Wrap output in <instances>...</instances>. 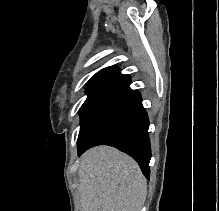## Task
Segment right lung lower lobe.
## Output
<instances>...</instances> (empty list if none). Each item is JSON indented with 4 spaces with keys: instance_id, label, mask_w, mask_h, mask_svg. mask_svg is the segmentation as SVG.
<instances>
[{
    "instance_id": "1",
    "label": "right lung lower lobe",
    "mask_w": 219,
    "mask_h": 211,
    "mask_svg": "<svg viewBox=\"0 0 219 211\" xmlns=\"http://www.w3.org/2000/svg\"><path fill=\"white\" fill-rule=\"evenodd\" d=\"M128 77L109 91L78 137V156L91 147L110 145L134 158L149 179L151 147L149 119L140 93L129 87Z\"/></svg>"
}]
</instances>
